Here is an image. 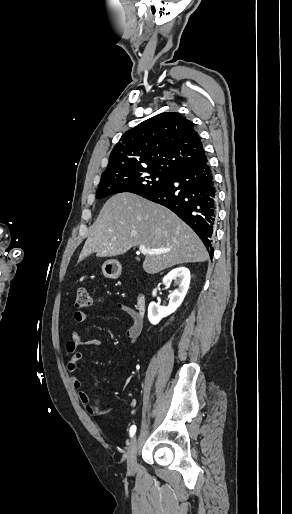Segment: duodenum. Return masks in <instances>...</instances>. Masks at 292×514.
<instances>
[{
	"instance_id": "410a0bca",
	"label": "duodenum",
	"mask_w": 292,
	"mask_h": 514,
	"mask_svg": "<svg viewBox=\"0 0 292 514\" xmlns=\"http://www.w3.org/2000/svg\"><path fill=\"white\" fill-rule=\"evenodd\" d=\"M144 307H145L144 298H143V296H140L137 300V313H138L139 320L141 319V314L144 310Z\"/></svg>"
}]
</instances>
